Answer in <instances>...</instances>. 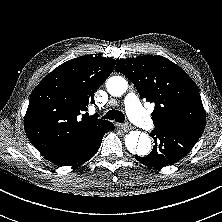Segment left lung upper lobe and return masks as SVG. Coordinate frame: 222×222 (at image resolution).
Segmentation results:
<instances>
[{
  "instance_id": "1",
  "label": "left lung upper lobe",
  "mask_w": 222,
  "mask_h": 222,
  "mask_svg": "<svg viewBox=\"0 0 222 222\" xmlns=\"http://www.w3.org/2000/svg\"><path fill=\"white\" fill-rule=\"evenodd\" d=\"M116 71L128 77L140 97L155 104V127L188 130L202 135L206 114L199 91L179 66L163 56L120 59Z\"/></svg>"
}]
</instances>
